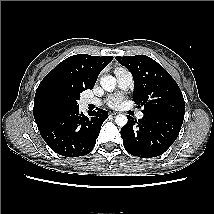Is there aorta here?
Here are the masks:
<instances>
[{"instance_id": "762f6f07", "label": "aorta", "mask_w": 214, "mask_h": 214, "mask_svg": "<svg viewBox=\"0 0 214 214\" xmlns=\"http://www.w3.org/2000/svg\"><path fill=\"white\" fill-rule=\"evenodd\" d=\"M100 85L101 87L108 92H111L114 90L115 86H116V79L113 76H105L103 78H101L100 81ZM128 119L125 115L123 114H119L115 117V123L120 126L123 127L127 124Z\"/></svg>"}]
</instances>
